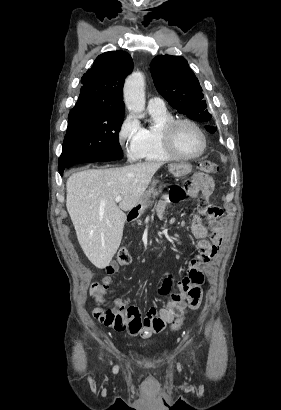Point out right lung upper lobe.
I'll list each match as a JSON object with an SVG mask.
<instances>
[{
	"instance_id": "1",
	"label": "right lung upper lobe",
	"mask_w": 281,
	"mask_h": 410,
	"mask_svg": "<svg viewBox=\"0 0 281 410\" xmlns=\"http://www.w3.org/2000/svg\"><path fill=\"white\" fill-rule=\"evenodd\" d=\"M132 69V58L124 51L101 54L83 75V86L74 107L87 106L124 112L122 88L126 76Z\"/></svg>"
}]
</instances>
